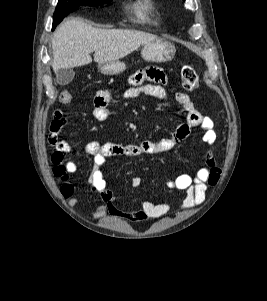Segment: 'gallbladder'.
<instances>
[{
  "instance_id": "gallbladder-1",
  "label": "gallbladder",
  "mask_w": 267,
  "mask_h": 301,
  "mask_svg": "<svg viewBox=\"0 0 267 301\" xmlns=\"http://www.w3.org/2000/svg\"><path fill=\"white\" fill-rule=\"evenodd\" d=\"M75 76V72L71 68L59 69L56 72V82L59 85L69 84Z\"/></svg>"
}]
</instances>
